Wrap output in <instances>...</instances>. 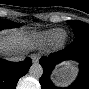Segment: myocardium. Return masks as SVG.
<instances>
[{"label":"myocardium","mask_w":89,"mask_h":89,"mask_svg":"<svg viewBox=\"0 0 89 89\" xmlns=\"http://www.w3.org/2000/svg\"><path fill=\"white\" fill-rule=\"evenodd\" d=\"M64 39V38H63ZM63 40H61L59 43H62Z\"/></svg>","instance_id":"f54148a6"}]
</instances>
